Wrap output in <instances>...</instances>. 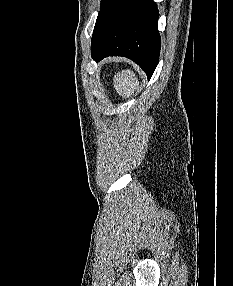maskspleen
<instances>
[{
	"mask_svg": "<svg viewBox=\"0 0 233 286\" xmlns=\"http://www.w3.org/2000/svg\"><path fill=\"white\" fill-rule=\"evenodd\" d=\"M113 84L116 92L123 98H129L139 90V82L135 73L126 69L115 74Z\"/></svg>",
	"mask_w": 233,
	"mask_h": 286,
	"instance_id": "obj_1",
	"label": "spleen"
}]
</instances>
